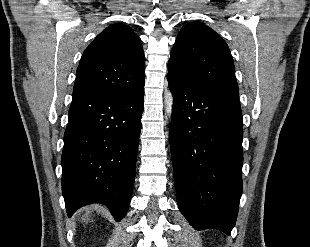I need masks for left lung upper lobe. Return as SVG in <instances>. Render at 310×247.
<instances>
[{"instance_id": "5c2ea615", "label": "left lung upper lobe", "mask_w": 310, "mask_h": 247, "mask_svg": "<svg viewBox=\"0 0 310 247\" xmlns=\"http://www.w3.org/2000/svg\"><path fill=\"white\" fill-rule=\"evenodd\" d=\"M168 74L194 86L239 97L230 50L203 23H188L181 28L169 59Z\"/></svg>"}]
</instances>
